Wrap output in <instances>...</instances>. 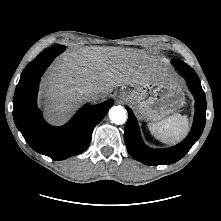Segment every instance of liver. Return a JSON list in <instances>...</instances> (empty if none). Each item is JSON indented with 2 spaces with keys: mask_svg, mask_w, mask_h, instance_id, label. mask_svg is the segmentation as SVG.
<instances>
[{
  "mask_svg": "<svg viewBox=\"0 0 221 221\" xmlns=\"http://www.w3.org/2000/svg\"><path fill=\"white\" fill-rule=\"evenodd\" d=\"M161 65L142 52L121 47H87L58 59L44 79L42 94L47 114L61 123L86 100L82 92L95 88L99 99L114 88L138 87L161 75Z\"/></svg>",
  "mask_w": 221,
  "mask_h": 221,
  "instance_id": "obj_1",
  "label": "liver"
}]
</instances>
